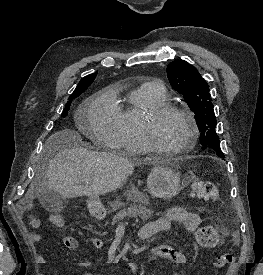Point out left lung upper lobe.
Here are the masks:
<instances>
[{"mask_svg":"<svg viewBox=\"0 0 263 275\" xmlns=\"http://www.w3.org/2000/svg\"><path fill=\"white\" fill-rule=\"evenodd\" d=\"M167 76L173 89L183 94L186 103L195 113L201 145L215 154H223L215 130L217 121L208 84L197 69L184 60L171 62L167 66Z\"/></svg>","mask_w":263,"mask_h":275,"instance_id":"obj_1","label":"left lung upper lobe"}]
</instances>
